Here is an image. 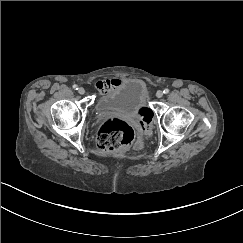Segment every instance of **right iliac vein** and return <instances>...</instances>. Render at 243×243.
Returning <instances> with one entry per match:
<instances>
[{
    "instance_id": "63e3f726",
    "label": "right iliac vein",
    "mask_w": 243,
    "mask_h": 243,
    "mask_svg": "<svg viewBox=\"0 0 243 243\" xmlns=\"http://www.w3.org/2000/svg\"><path fill=\"white\" fill-rule=\"evenodd\" d=\"M78 93L79 94H84L85 93V89L84 88H82V87H80L79 89H78Z\"/></svg>"
}]
</instances>
